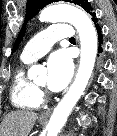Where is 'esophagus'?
<instances>
[{
  "instance_id": "esophagus-1",
  "label": "esophagus",
  "mask_w": 117,
  "mask_h": 136,
  "mask_svg": "<svg viewBox=\"0 0 117 136\" xmlns=\"http://www.w3.org/2000/svg\"><path fill=\"white\" fill-rule=\"evenodd\" d=\"M51 111H52V109H48V110L42 112L41 115H40V118H41V119H46V118H48V117L50 116V114H51Z\"/></svg>"
}]
</instances>
